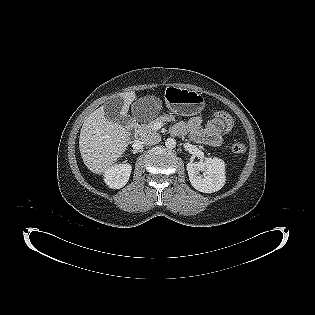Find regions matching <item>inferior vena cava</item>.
<instances>
[{
    "label": "inferior vena cava",
    "mask_w": 315,
    "mask_h": 315,
    "mask_svg": "<svg viewBox=\"0 0 315 315\" xmlns=\"http://www.w3.org/2000/svg\"><path fill=\"white\" fill-rule=\"evenodd\" d=\"M160 141L161 137L159 136V134H151L142 139V144L151 146L159 143Z\"/></svg>",
    "instance_id": "1"
}]
</instances>
